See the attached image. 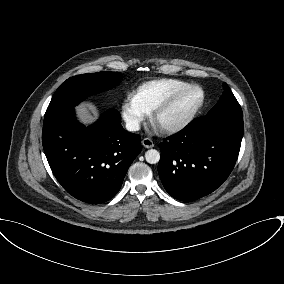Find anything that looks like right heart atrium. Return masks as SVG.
<instances>
[{
    "label": "right heart atrium",
    "instance_id": "1",
    "mask_svg": "<svg viewBox=\"0 0 284 284\" xmlns=\"http://www.w3.org/2000/svg\"><path fill=\"white\" fill-rule=\"evenodd\" d=\"M147 115V111L140 105L135 95L128 94L121 105V116L126 128L130 131L138 130Z\"/></svg>",
    "mask_w": 284,
    "mask_h": 284
}]
</instances>
